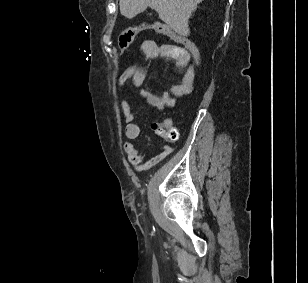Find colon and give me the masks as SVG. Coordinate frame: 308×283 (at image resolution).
Here are the masks:
<instances>
[{"label": "colon", "instance_id": "colon-1", "mask_svg": "<svg viewBox=\"0 0 308 283\" xmlns=\"http://www.w3.org/2000/svg\"><path fill=\"white\" fill-rule=\"evenodd\" d=\"M146 28H151L155 32L168 36L180 43L182 45V48L186 52H188L190 56L194 59L196 67L198 68L200 66V52L197 45L192 40L178 35L174 30L160 23H154L152 25L142 24L139 26H132L125 29L118 36V46L120 50H126L134 41L139 32ZM153 129L160 136L168 140H175L177 137L176 130L166 122L154 124Z\"/></svg>", "mask_w": 308, "mask_h": 283}]
</instances>
